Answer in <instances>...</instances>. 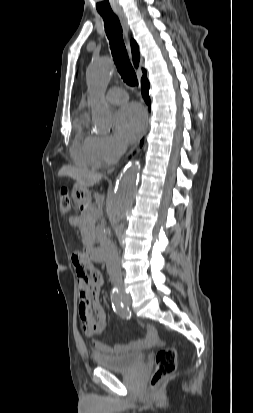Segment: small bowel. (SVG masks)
Masks as SVG:
<instances>
[{
  "label": "small bowel",
  "instance_id": "c3829d8e",
  "mask_svg": "<svg viewBox=\"0 0 253 413\" xmlns=\"http://www.w3.org/2000/svg\"><path fill=\"white\" fill-rule=\"evenodd\" d=\"M77 216L70 218L76 223ZM72 263L76 270L79 292V318L86 336L92 339V346L99 354H117L128 349H139L151 346L157 341L156 330L151 325H142L143 333L139 339L125 345L111 347L99 339L106 326V314L100 303V291L104 277L95 264L80 252L72 255Z\"/></svg>",
  "mask_w": 253,
  "mask_h": 413
}]
</instances>
